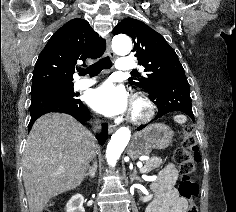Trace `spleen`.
<instances>
[{"label":"spleen","mask_w":236,"mask_h":212,"mask_svg":"<svg viewBox=\"0 0 236 212\" xmlns=\"http://www.w3.org/2000/svg\"><path fill=\"white\" fill-rule=\"evenodd\" d=\"M174 120H175L177 123H179V124H183V123H185V122L187 121V118H186L185 115H176V116L174 117Z\"/></svg>","instance_id":"spleen-1"}]
</instances>
